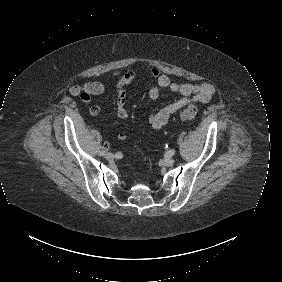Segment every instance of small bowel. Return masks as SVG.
<instances>
[{
    "label": "small bowel",
    "instance_id": "obj_1",
    "mask_svg": "<svg viewBox=\"0 0 282 282\" xmlns=\"http://www.w3.org/2000/svg\"><path fill=\"white\" fill-rule=\"evenodd\" d=\"M149 78L155 81V84L150 87L148 95L151 101L158 99L162 90H170L172 92L179 93L181 98L166 105L159 111L149 116L148 122L153 129L163 128L169 119L176 113L181 116V109L187 103H206L209 102L214 95V87L210 84L203 83L199 85H193L188 83H178L170 80L169 77L162 74L157 68H151L148 71ZM138 79V74L134 71H129L124 74L116 72L111 80V83L116 93V111L117 116L120 119H126L129 115L126 108V92L124 87ZM107 89L106 84L101 82H91L83 86L75 85L69 89L72 96L79 97L82 100V96L91 97L102 94ZM83 101V100H82ZM87 102V101H85ZM101 111L99 105L92 106L89 110L91 116H97ZM118 139L123 141L126 139L125 132H119Z\"/></svg>",
    "mask_w": 282,
    "mask_h": 282
}]
</instances>
